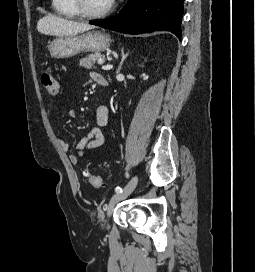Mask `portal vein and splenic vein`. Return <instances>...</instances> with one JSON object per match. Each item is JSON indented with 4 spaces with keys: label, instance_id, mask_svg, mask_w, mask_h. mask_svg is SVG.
Listing matches in <instances>:
<instances>
[{
    "label": "portal vein and splenic vein",
    "instance_id": "18ae733b",
    "mask_svg": "<svg viewBox=\"0 0 255 272\" xmlns=\"http://www.w3.org/2000/svg\"><path fill=\"white\" fill-rule=\"evenodd\" d=\"M113 68V65H111V64H107V65H103L102 66V69L103 70H110V69H112Z\"/></svg>",
    "mask_w": 255,
    "mask_h": 272
}]
</instances>
